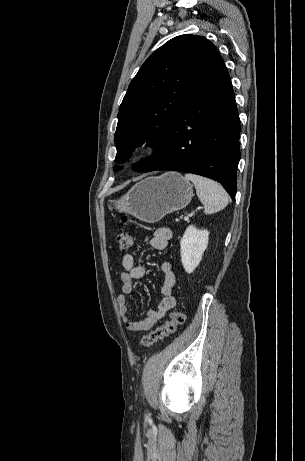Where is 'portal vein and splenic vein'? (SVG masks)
I'll list each match as a JSON object with an SVG mask.
<instances>
[{
    "label": "portal vein and splenic vein",
    "instance_id": "18ae733b",
    "mask_svg": "<svg viewBox=\"0 0 305 461\" xmlns=\"http://www.w3.org/2000/svg\"><path fill=\"white\" fill-rule=\"evenodd\" d=\"M198 209H200V207H199ZM184 220H185V221H188V220H189V216H185V217H184Z\"/></svg>",
    "mask_w": 305,
    "mask_h": 461
}]
</instances>
